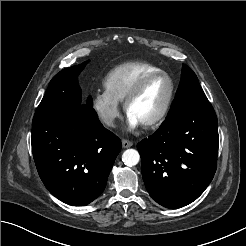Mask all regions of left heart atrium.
Instances as JSON below:
<instances>
[{
  "label": "left heart atrium",
  "mask_w": 246,
  "mask_h": 246,
  "mask_svg": "<svg viewBox=\"0 0 246 246\" xmlns=\"http://www.w3.org/2000/svg\"><path fill=\"white\" fill-rule=\"evenodd\" d=\"M127 123L130 129H136L141 123L132 115L128 113Z\"/></svg>",
  "instance_id": "obj_1"
}]
</instances>
